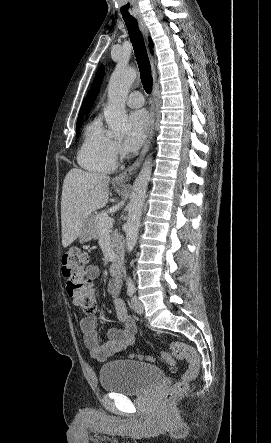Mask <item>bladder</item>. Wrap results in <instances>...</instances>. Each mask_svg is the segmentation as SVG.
<instances>
[{"label":"bladder","mask_w":271,"mask_h":443,"mask_svg":"<svg viewBox=\"0 0 271 443\" xmlns=\"http://www.w3.org/2000/svg\"><path fill=\"white\" fill-rule=\"evenodd\" d=\"M164 377L157 366L127 359L103 364L99 371L102 388L110 393L132 395L159 384Z\"/></svg>","instance_id":"obj_1"}]
</instances>
